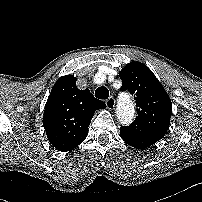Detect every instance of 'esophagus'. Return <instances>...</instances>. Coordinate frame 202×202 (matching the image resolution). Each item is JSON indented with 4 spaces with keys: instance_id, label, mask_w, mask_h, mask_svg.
<instances>
[{
    "instance_id": "1",
    "label": "esophagus",
    "mask_w": 202,
    "mask_h": 202,
    "mask_svg": "<svg viewBox=\"0 0 202 202\" xmlns=\"http://www.w3.org/2000/svg\"><path fill=\"white\" fill-rule=\"evenodd\" d=\"M106 107L109 110L114 109L115 107V99L113 96H110L106 101H105Z\"/></svg>"
}]
</instances>
